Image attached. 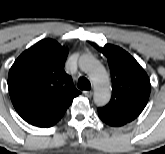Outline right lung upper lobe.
<instances>
[{
    "label": "right lung upper lobe",
    "mask_w": 165,
    "mask_h": 154,
    "mask_svg": "<svg viewBox=\"0 0 165 154\" xmlns=\"http://www.w3.org/2000/svg\"><path fill=\"white\" fill-rule=\"evenodd\" d=\"M66 56L67 50L58 42L43 39L24 51L10 68L9 94L24 120L81 94L64 71Z\"/></svg>",
    "instance_id": "obj_1"
}]
</instances>
